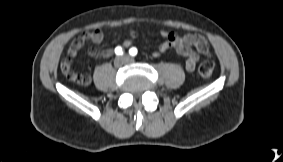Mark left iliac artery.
<instances>
[{
	"instance_id": "obj_1",
	"label": "left iliac artery",
	"mask_w": 283,
	"mask_h": 162,
	"mask_svg": "<svg viewBox=\"0 0 283 162\" xmlns=\"http://www.w3.org/2000/svg\"><path fill=\"white\" fill-rule=\"evenodd\" d=\"M137 48H135V47H132L130 50H129V53H130V55L131 56H135V55H137Z\"/></svg>"
}]
</instances>
